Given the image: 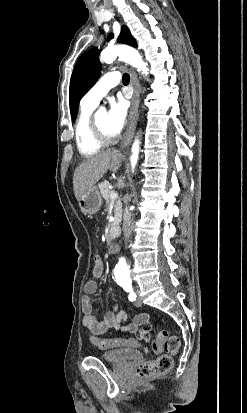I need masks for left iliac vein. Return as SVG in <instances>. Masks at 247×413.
Listing matches in <instances>:
<instances>
[{
    "instance_id": "1",
    "label": "left iliac vein",
    "mask_w": 247,
    "mask_h": 413,
    "mask_svg": "<svg viewBox=\"0 0 247 413\" xmlns=\"http://www.w3.org/2000/svg\"><path fill=\"white\" fill-rule=\"evenodd\" d=\"M138 293V292H137ZM135 306L136 307H140L141 306V304H142V302H141V299H140V297L138 296V298H137V300L135 301Z\"/></svg>"
}]
</instances>
